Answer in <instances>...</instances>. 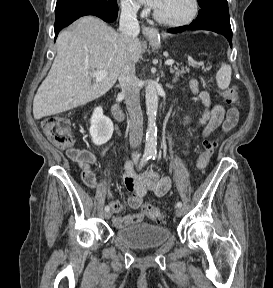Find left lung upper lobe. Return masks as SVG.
Instances as JSON below:
<instances>
[{
  "label": "left lung upper lobe",
  "instance_id": "obj_1",
  "mask_svg": "<svg viewBox=\"0 0 273 288\" xmlns=\"http://www.w3.org/2000/svg\"><path fill=\"white\" fill-rule=\"evenodd\" d=\"M201 9L207 8L219 3H227V0H198Z\"/></svg>",
  "mask_w": 273,
  "mask_h": 288
}]
</instances>
